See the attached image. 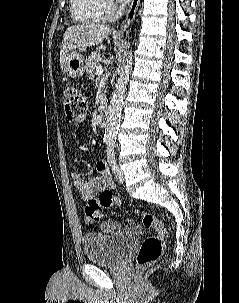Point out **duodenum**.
<instances>
[{
	"label": "duodenum",
	"instance_id": "obj_1",
	"mask_svg": "<svg viewBox=\"0 0 239 303\" xmlns=\"http://www.w3.org/2000/svg\"><path fill=\"white\" fill-rule=\"evenodd\" d=\"M106 116H107V112L105 110H102L99 112V114L97 116V121H98L99 126H105Z\"/></svg>",
	"mask_w": 239,
	"mask_h": 303
}]
</instances>
